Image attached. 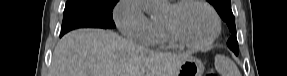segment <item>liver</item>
Here are the masks:
<instances>
[{"label":"liver","mask_w":287,"mask_h":76,"mask_svg":"<svg viewBox=\"0 0 287 76\" xmlns=\"http://www.w3.org/2000/svg\"><path fill=\"white\" fill-rule=\"evenodd\" d=\"M188 57L147 49L109 30L78 29L58 41L50 76H176Z\"/></svg>","instance_id":"obj_1"}]
</instances>
